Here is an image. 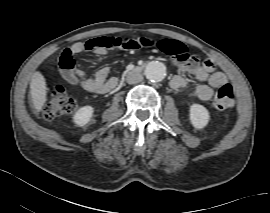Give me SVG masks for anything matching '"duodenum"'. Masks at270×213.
<instances>
[{"label":"duodenum","instance_id":"duodenum-1","mask_svg":"<svg viewBox=\"0 0 270 213\" xmlns=\"http://www.w3.org/2000/svg\"><path fill=\"white\" fill-rule=\"evenodd\" d=\"M143 70H144V67L143 66H136L134 68V71L137 72V73H141Z\"/></svg>","mask_w":270,"mask_h":213}]
</instances>
